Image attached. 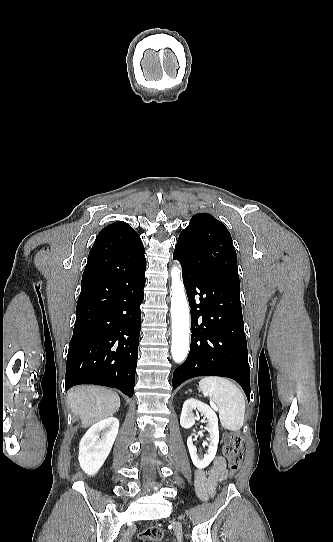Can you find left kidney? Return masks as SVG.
Returning <instances> with one entry per match:
<instances>
[{"mask_svg": "<svg viewBox=\"0 0 333 542\" xmlns=\"http://www.w3.org/2000/svg\"><path fill=\"white\" fill-rule=\"evenodd\" d=\"M192 410H198L201 416L207 418L208 422L206 430L210 434V444L204 458H199V456H197V448L193 444L192 436H189L187 440L189 454L194 466L199 468V470H203V468H207V466L211 464L216 456L219 442L218 418L210 406L203 404V402H199V400H194V398H189V400L184 402L180 416V424L182 428H186V430L192 428L195 424V420H198V418L194 416Z\"/></svg>", "mask_w": 333, "mask_h": 542, "instance_id": "left-kidney-1", "label": "left kidney"}]
</instances>
